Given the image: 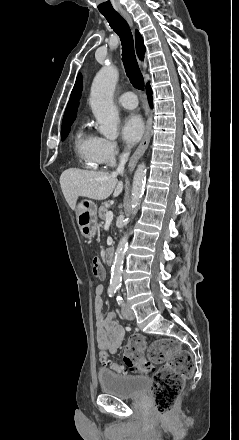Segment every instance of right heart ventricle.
Listing matches in <instances>:
<instances>
[{"label": "right heart ventricle", "instance_id": "obj_1", "mask_svg": "<svg viewBox=\"0 0 239 440\" xmlns=\"http://www.w3.org/2000/svg\"><path fill=\"white\" fill-rule=\"evenodd\" d=\"M72 148L79 164L87 169H98L102 162L95 151V137L83 129L73 136Z\"/></svg>", "mask_w": 239, "mask_h": 440}]
</instances>
